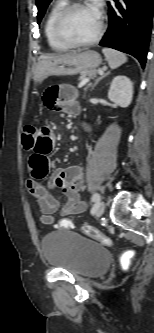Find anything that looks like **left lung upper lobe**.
Returning <instances> with one entry per match:
<instances>
[{"mask_svg":"<svg viewBox=\"0 0 154 333\" xmlns=\"http://www.w3.org/2000/svg\"><path fill=\"white\" fill-rule=\"evenodd\" d=\"M52 0H36V5L38 8V24L40 23L42 17L44 16V13L46 12V8L48 7L49 3Z\"/></svg>","mask_w":154,"mask_h":333,"instance_id":"obj_1","label":"left lung upper lobe"}]
</instances>
